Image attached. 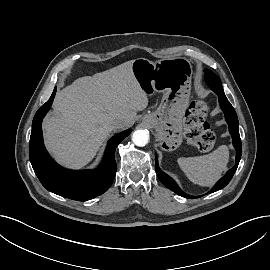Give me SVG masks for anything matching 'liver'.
Returning <instances> with one entry per match:
<instances>
[{
	"instance_id": "obj_1",
	"label": "liver",
	"mask_w": 270,
	"mask_h": 270,
	"mask_svg": "<svg viewBox=\"0 0 270 270\" xmlns=\"http://www.w3.org/2000/svg\"><path fill=\"white\" fill-rule=\"evenodd\" d=\"M133 61L78 78L56 94L54 114L44 119L43 129L58 162L71 168L85 166L114 130L113 120L122 119L127 127L136 112L147 107V93L132 72Z\"/></svg>"
}]
</instances>
